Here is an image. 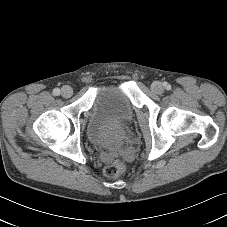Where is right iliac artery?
Returning <instances> with one entry per match:
<instances>
[{
  "label": "right iliac artery",
  "mask_w": 227,
  "mask_h": 227,
  "mask_svg": "<svg viewBox=\"0 0 227 227\" xmlns=\"http://www.w3.org/2000/svg\"><path fill=\"white\" fill-rule=\"evenodd\" d=\"M53 94H54L55 96H58V95L60 94V89H59V88H55V89L53 90Z\"/></svg>",
  "instance_id": "right-iliac-artery-1"
}]
</instances>
